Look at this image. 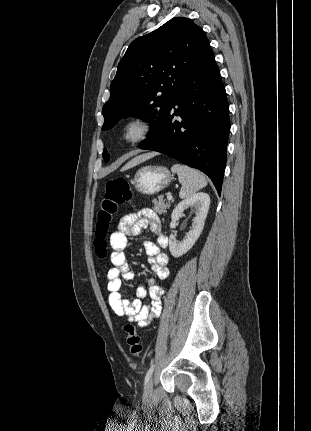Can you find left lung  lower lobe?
<instances>
[{
	"instance_id": "obj_1",
	"label": "left lung lower lobe",
	"mask_w": 311,
	"mask_h": 431,
	"mask_svg": "<svg viewBox=\"0 0 311 431\" xmlns=\"http://www.w3.org/2000/svg\"><path fill=\"white\" fill-rule=\"evenodd\" d=\"M229 131L226 92L210 49L181 85L158 130L139 147L201 170L220 195Z\"/></svg>"
}]
</instances>
